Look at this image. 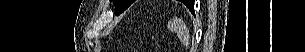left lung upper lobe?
<instances>
[{
	"mask_svg": "<svg viewBox=\"0 0 305 52\" xmlns=\"http://www.w3.org/2000/svg\"><path fill=\"white\" fill-rule=\"evenodd\" d=\"M186 6H188L191 3V0L182 1ZM115 7H116V14L119 15L121 12L126 10L132 3L133 0H115Z\"/></svg>",
	"mask_w": 305,
	"mask_h": 52,
	"instance_id": "left-lung-upper-lobe-1",
	"label": "left lung upper lobe"
}]
</instances>
